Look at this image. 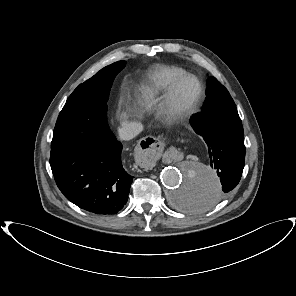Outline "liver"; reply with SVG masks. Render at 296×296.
Listing matches in <instances>:
<instances>
[{
	"instance_id": "obj_1",
	"label": "liver",
	"mask_w": 296,
	"mask_h": 296,
	"mask_svg": "<svg viewBox=\"0 0 296 296\" xmlns=\"http://www.w3.org/2000/svg\"><path fill=\"white\" fill-rule=\"evenodd\" d=\"M146 99H147V101H149L151 103L154 102L152 95L147 96Z\"/></svg>"
}]
</instances>
